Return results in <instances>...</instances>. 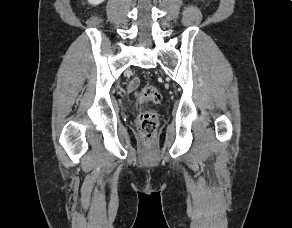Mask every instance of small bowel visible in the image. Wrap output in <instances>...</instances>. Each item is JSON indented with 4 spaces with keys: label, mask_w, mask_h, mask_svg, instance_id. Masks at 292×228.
<instances>
[{
    "label": "small bowel",
    "mask_w": 292,
    "mask_h": 228,
    "mask_svg": "<svg viewBox=\"0 0 292 228\" xmlns=\"http://www.w3.org/2000/svg\"><path fill=\"white\" fill-rule=\"evenodd\" d=\"M138 84H139V79L138 78H134L129 86H128V90L131 92L133 90H135L137 87H138Z\"/></svg>",
    "instance_id": "c3829d8e"
}]
</instances>
